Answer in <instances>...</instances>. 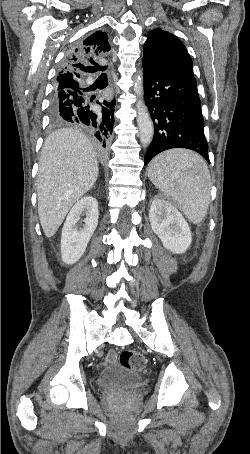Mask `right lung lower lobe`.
<instances>
[{
  "label": "right lung lower lobe",
  "mask_w": 250,
  "mask_h": 454,
  "mask_svg": "<svg viewBox=\"0 0 250 454\" xmlns=\"http://www.w3.org/2000/svg\"><path fill=\"white\" fill-rule=\"evenodd\" d=\"M75 97L65 91L58 93L56 100L51 101V114L60 118L63 123L78 124L91 134L106 147L114 126V107L115 103L103 102L101 111H94L90 103L94 96H85L77 92H71ZM96 103L100 104L99 101Z\"/></svg>",
  "instance_id": "right-lung-lower-lobe-1"
}]
</instances>
